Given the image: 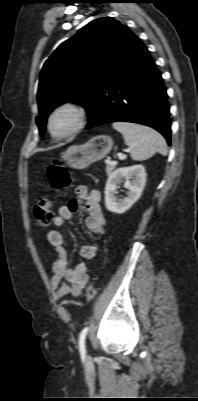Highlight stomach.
I'll list each match as a JSON object with an SVG mask.
<instances>
[{"label":"stomach","instance_id":"obj_1","mask_svg":"<svg viewBox=\"0 0 198 401\" xmlns=\"http://www.w3.org/2000/svg\"><path fill=\"white\" fill-rule=\"evenodd\" d=\"M113 139L97 135L81 145H73L61 154L62 160L72 168L84 169L103 159L113 148Z\"/></svg>","mask_w":198,"mask_h":401}]
</instances>
